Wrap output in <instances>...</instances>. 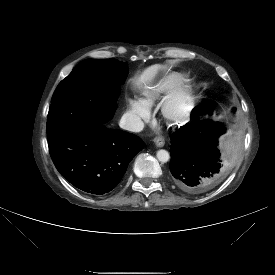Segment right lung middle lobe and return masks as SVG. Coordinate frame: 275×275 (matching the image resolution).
Returning <instances> with one entry per match:
<instances>
[{
	"label": "right lung middle lobe",
	"mask_w": 275,
	"mask_h": 275,
	"mask_svg": "<svg viewBox=\"0 0 275 275\" xmlns=\"http://www.w3.org/2000/svg\"><path fill=\"white\" fill-rule=\"evenodd\" d=\"M127 65L115 59L80 62L57 86L47 118V134L85 122L109 121L116 110L110 87L127 75Z\"/></svg>",
	"instance_id": "right-lung-middle-lobe-1"
}]
</instances>
